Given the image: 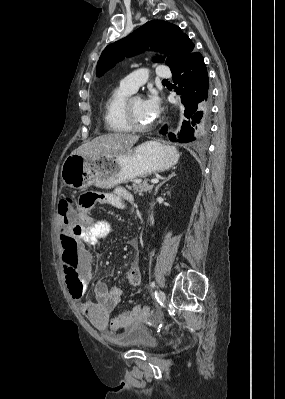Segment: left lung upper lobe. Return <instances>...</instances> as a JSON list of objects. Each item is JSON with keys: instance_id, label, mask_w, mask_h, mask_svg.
I'll list each match as a JSON object with an SVG mask.
<instances>
[{"instance_id": "left-lung-upper-lobe-1", "label": "left lung upper lobe", "mask_w": 285, "mask_h": 399, "mask_svg": "<svg viewBox=\"0 0 285 399\" xmlns=\"http://www.w3.org/2000/svg\"><path fill=\"white\" fill-rule=\"evenodd\" d=\"M163 49L170 54L169 62H166L171 71L175 70L182 59L194 50V43L181 29L168 22L152 20L147 22L129 36L108 45L102 52L97 63L96 74L101 76L104 72L123 60L148 48ZM155 62L163 59H154Z\"/></svg>"}]
</instances>
